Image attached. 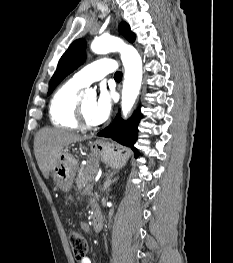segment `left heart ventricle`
I'll return each instance as SVG.
<instances>
[{
	"label": "left heart ventricle",
	"mask_w": 233,
	"mask_h": 263,
	"mask_svg": "<svg viewBox=\"0 0 233 263\" xmlns=\"http://www.w3.org/2000/svg\"><path fill=\"white\" fill-rule=\"evenodd\" d=\"M94 104H95L94 99H87V100L82 102L84 114H85L87 120L89 121V123H91V124H92V122H91V111L93 109Z\"/></svg>",
	"instance_id": "b2bd125f"
}]
</instances>
